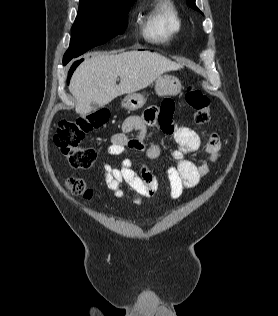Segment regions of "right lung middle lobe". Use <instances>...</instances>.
Here are the masks:
<instances>
[{
  "instance_id": "1",
  "label": "right lung middle lobe",
  "mask_w": 278,
  "mask_h": 316,
  "mask_svg": "<svg viewBox=\"0 0 278 316\" xmlns=\"http://www.w3.org/2000/svg\"><path fill=\"white\" fill-rule=\"evenodd\" d=\"M131 4L132 1L107 4L80 2L63 63L67 64L90 48L122 34L127 28V13Z\"/></svg>"
}]
</instances>
